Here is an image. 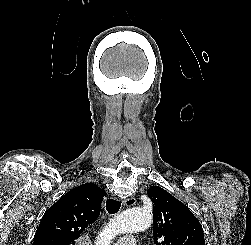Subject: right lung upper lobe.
Instances as JSON below:
<instances>
[{"label": "right lung upper lobe", "mask_w": 251, "mask_h": 245, "mask_svg": "<svg viewBox=\"0 0 251 245\" xmlns=\"http://www.w3.org/2000/svg\"><path fill=\"white\" fill-rule=\"evenodd\" d=\"M106 192L93 183L80 185L63 195L44 214L33 245H75V240L100 215Z\"/></svg>", "instance_id": "obj_1"}]
</instances>
